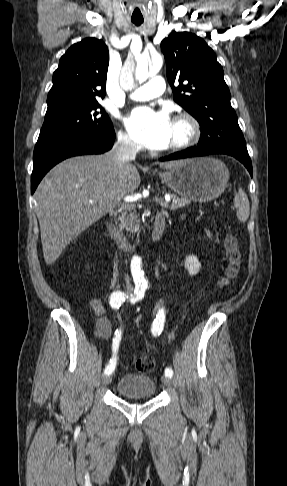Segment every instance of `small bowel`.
Listing matches in <instances>:
<instances>
[{
  "mask_svg": "<svg viewBox=\"0 0 287 486\" xmlns=\"http://www.w3.org/2000/svg\"><path fill=\"white\" fill-rule=\"evenodd\" d=\"M90 305L94 311V314L97 316V321H96V331L97 334L102 337V338H112L113 336V331H112V326L110 321L104 317V312L105 309L103 307V304L99 298H92L90 300ZM115 339V336L113 337V340Z\"/></svg>",
  "mask_w": 287,
  "mask_h": 486,
  "instance_id": "small-bowel-1",
  "label": "small bowel"
}]
</instances>
